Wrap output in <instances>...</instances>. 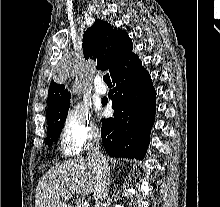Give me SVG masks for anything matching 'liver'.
I'll use <instances>...</instances> for the list:
<instances>
[{"label":"liver","mask_w":220,"mask_h":207,"mask_svg":"<svg viewBox=\"0 0 220 207\" xmlns=\"http://www.w3.org/2000/svg\"><path fill=\"white\" fill-rule=\"evenodd\" d=\"M97 171L88 159L77 157L50 168L39 180L35 207H63L73 196L94 191Z\"/></svg>","instance_id":"obj_1"}]
</instances>
